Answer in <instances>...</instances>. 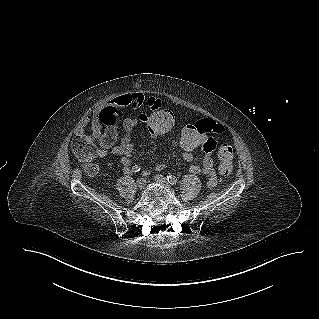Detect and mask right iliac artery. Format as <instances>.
Returning a JSON list of instances; mask_svg holds the SVG:
<instances>
[{
  "instance_id": "82829eb1",
  "label": "right iliac artery",
  "mask_w": 319,
  "mask_h": 319,
  "mask_svg": "<svg viewBox=\"0 0 319 319\" xmlns=\"http://www.w3.org/2000/svg\"><path fill=\"white\" fill-rule=\"evenodd\" d=\"M141 170V168H140V166H138V165H135V166H133V168H132V172H134V173H137V172H139Z\"/></svg>"
}]
</instances>
